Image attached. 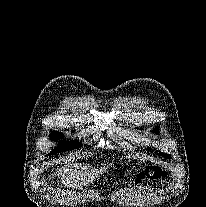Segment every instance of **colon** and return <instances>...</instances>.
Returning <instances> with one entry per match:
<instances>
[{
  "mask_svg": "<svg viewBox=\"0 0 206 207\" xmlns=\"http://www.w3.org/2000/svg\"><path fill=\"white\" fill-rule=\"evenodd\" d=\"M166 173L160 167H149L141 171L136 178L137 183L157 182L164 179Z\"/></svg>",
  "mask_w": 206,
  "mask_h": 207,
  "instance_id": "obj_1",
  "label": "colon"
}]
</instances>
